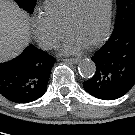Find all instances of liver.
I'll return each mask as SVG.
<instances>
[{
  "label": "liver",
  "mask_w": 135,
  "mask_h": 135,
  "mask_svg": "<svg viewBox=\"0 0 135 135\" xmlns=\"http://www.w3.org/2000/svg\"><path fill=\"white\" fill-rule=\"evenodd\" d=\"M26 15L11 0H0V62L18 55L29 40Z\"/></svg>",
  "instance_id": "1"
}]
</instances>
